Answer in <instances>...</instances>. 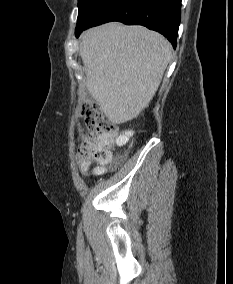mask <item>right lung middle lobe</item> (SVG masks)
Segmentation results:
<instances>
[{"instance_id": "obj_1", "label": "right lung middle lobe", "mask_w": 233, "mask_h": 284, "mask_svg": "<svg viewBox=\"0 0 233 284\" xmlns=\"http://www.w3.org/2000/svg\"><path fill=\"white\" fill-rule=\"evenodd\" d=\"M110 0H78V18L76 31L85 27L93 16Z\"/></svg>"}]
</instances>
